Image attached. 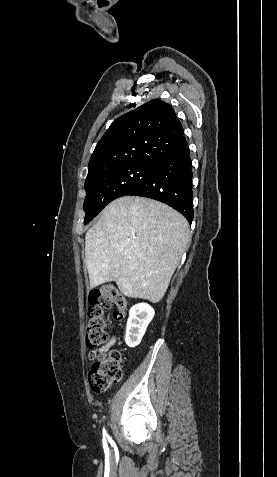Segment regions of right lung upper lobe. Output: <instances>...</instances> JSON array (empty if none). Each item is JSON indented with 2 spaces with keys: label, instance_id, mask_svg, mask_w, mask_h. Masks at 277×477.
Returning <instances> with one entry per match:
<instances>
[{
  "label": "right lung upper lobe",
  "instance_id": "cb5924a9",
  "mask_svg": "<svg viewBox=\"0 0 277 477\" xmlns=\"http://www.w3.org/2000/svg\"><path fill=\"white\" fill-rule=\"evenodd\" d=\"M187 145L173 108L151 100L117 118L105 132L89 162V172L140 162L156 165Z\"/></svg>",
  "mask_w": 277,
  "mask_h": 477
}]
</instances>
